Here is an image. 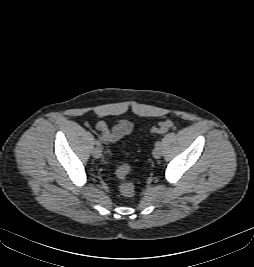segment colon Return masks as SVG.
Returning a JSON list of instances; mask_svg holds the SVG:
<instances>
[{
    "label": "colon",
    "instance_id": "obj_1",
    "mask_svg": "<svg viewBox=\"0 0 254 267\" xmlns=\"http://www.w3.org/2000/svg\"><path fill=\"white\" fill-rule=\"evenodd\" d=\"M173 123L171 120H165L151 128V132L154 134H163L167 132ZM130 172V166L128 164H122L116 169V175L120 180L119 190L123 196L132 197L135 194L134 185L128 181L127 177Z\"/></svg>",
    "mask_w": 254,
    "mask_h": 267
}]
</instances>
